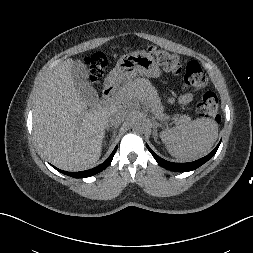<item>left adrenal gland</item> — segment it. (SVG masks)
<instances>
[{"label":"left adrenal gland","instance_id":"1","mask_svg":"<svg viewBox=\"0 0 253 253\" xmlns=\"http://www.w3.org/2000/svg\"><path fill=\"white\" fill-rule=\"evenodd\" d=\"M153 135H154V140L157 143V129H156V127L154 128Z\"/></svg>","mask_w":253,"mask_h":253}]
</instances>
